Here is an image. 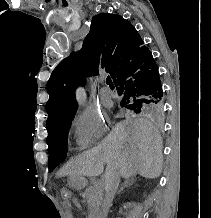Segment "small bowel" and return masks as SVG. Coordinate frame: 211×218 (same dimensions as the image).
<instances>
[{
    "mask_svg": "<svg viewBox=\"0 0 211 218\" xmlns=\"http://www.w3.org/2000/svg\"><path fill=\"white\" fill-rule=\"evenodd\" d=\"M72 204L75 205V206H79L78 202H76V201H72V202L67 203L68 206H70Z\"/></svg>",
    "mask_w": 211,
    "mask_h": 218,
    "instance_id": "small-bowel-1",
    "label": "small bowel"
}]
</instances>
